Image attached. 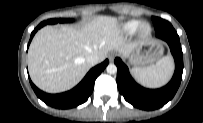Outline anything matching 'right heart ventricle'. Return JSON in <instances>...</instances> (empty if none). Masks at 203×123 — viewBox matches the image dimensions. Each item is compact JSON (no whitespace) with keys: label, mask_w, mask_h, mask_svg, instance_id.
<instances>
[{"label":"right heart ventricle","mask_w":203,"mask_h":123,"mask_svg":"<svg viewBox=\"0 0 203 123\" xmlns=\"http://www.w3.org/2000/svg\"><path fill=\"white\" fill-rule=\"evenodd\" d=\"M141 24L139 20H129L122 24L121 29L125 34L132 35L139 29Z\"/></svg>","instance_id":"e07e8e85"}]
</instances>
